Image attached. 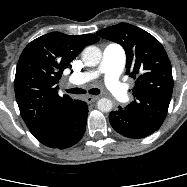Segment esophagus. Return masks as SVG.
<instances>
[{"mask_svg": "<svg viewBox=\"0 0 187 187\" xmlns=\"http://www.w3.org/2000/svg\"><path fill=\"white\" fill-rule=\"evenodd\" d=\"M98 99H99V96H87L85 100L88 104H91L97 101Z\"/></svg>", "mask_w": 187, "mask_h": 187, "instance_id": "34e87169", "label": "esophagus"}]
</instances>
